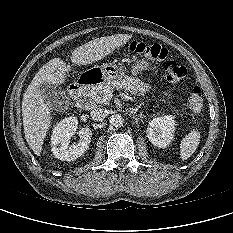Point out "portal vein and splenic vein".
<instances>
[{"instance_id": "obj_1", "label": "portal vein and splenic vein", "mask_w": 233, "mask_h": 233, "mask_svg": "<svg viewBox=\"0 0 233 233\" xmlns=\"http://www.w3.org/2000/svg\"><path fill=\"white\" fill-rule=\"evenodd\" d=\"M106 97H107V98H111V97H112V94H111V93H107Z\"/></svg>"}]
</instances>
